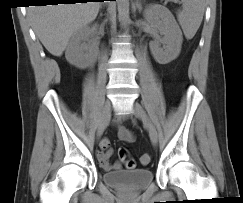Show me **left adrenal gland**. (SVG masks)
<instances>
[{
    "label": "left adrenal gland",
    "mask_w": 243,
    "mask_h": 203,
    "mask_svg": "<svg viewBox=\"0 0 243 203\" xmlns=\"http://www.w3.org/2000/svg\"><path fill=\"white\" fill-rule=\"evenodd\" d=\"M135 7H136V9H138L139 13H141V11H142V4H141L140 0H136Z\"/></svg>",
    "instance_id": "a2214340"
}]
</instances>
